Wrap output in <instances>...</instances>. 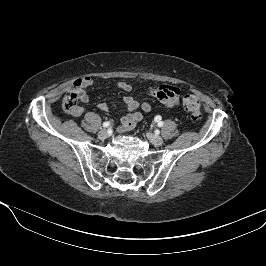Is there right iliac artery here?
Instances as JSON below:
<instances>
[{
	"mask_svg": "<svg viewBox=\"0 0 266 266\" xmlns=\"http://www.w3.org/2000/svg\"><path fill=\"white\" fill-rule=\"evenodd\" d=\"M109 126H110V123H109V122H104V123H103V127H104V128H107V127H109Z\"/></svg>",
	"mask_w": 266,
	"mask_h": 266,
	"instance_id": "obj_1",
	"label": "right iliac artery"
}]
</instances>
